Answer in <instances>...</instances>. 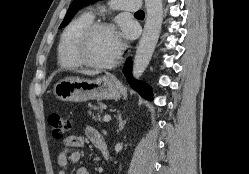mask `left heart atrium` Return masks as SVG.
<instances>
[{
  "mask_svg": "<svg viewBox=\"0 0 249 174\" xmlns=\"http://www.w3.org/2000/svg\"><path fill=\"white\" fill-rule=\"evenodd\" d=\"M125 29H129V26H126Z\"/></svg>",
  "mask_w": 249,
  "mask_h": 174,
  "instance_id": "obj_1",
  "label": "left heart atrium"
}]
</instances>
